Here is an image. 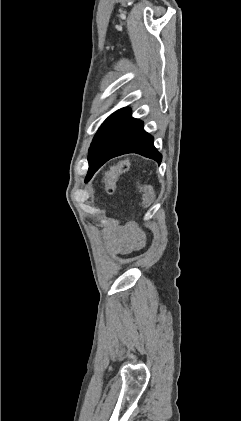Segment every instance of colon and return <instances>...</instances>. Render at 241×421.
I'll list each match as a JSON object with an SVG mask.
<instances>
[{"label":"colon","instance_id":"colon-1","mask_svg":"<svg viewBox=\"0 0 241 421\" xmlns=\"http://www.w3.org/2000/svg\"><path fill=\"white\" fill-rule=\"evenodd\" d=\"M130 167L129 160H121L114 165L106 174L105 186L108 192L113 193L116 189L120 176L125 173ZM144 203L150 205L154 199L153 192L149 186L142 185Z\"/></svg>","mask_w":241,"mask_h":421}]
</instances>
